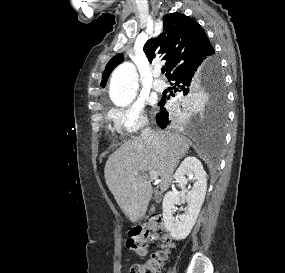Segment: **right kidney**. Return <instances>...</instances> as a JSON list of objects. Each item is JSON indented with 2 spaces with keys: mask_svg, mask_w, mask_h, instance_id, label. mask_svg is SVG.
Here are the masks:
<instances>
[{
  "mask_svg": "<svg viewBox=\"0 0 285 273\" xmlns=\"http://www.w3.org/2000/svg\"><path fill=\"white\" fill-rule=\"evenodd\" d=\"M207 174L202 163L195 157H187L176 170L174 179L178 187L185 189L188 179H193L194 184L187 193V208L178 219L173 216L176 205L180 204L179 193L176 190L167 192L164 196L163 220L165 227L175 240L185 239L191 232L204 202L207 190Z\"/></svg>",
  "mask_w": 285,
  "mask_h": 273,
  "instance_id": "ca27d5eb",
  "label": "right kidney"
}]
</instances>
